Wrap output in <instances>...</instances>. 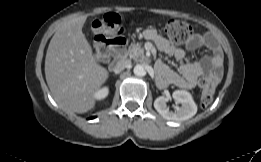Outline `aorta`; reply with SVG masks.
<instances>
[{
    "mask_svg": "<svg viewBox=\"0 0 261 162\" xmlns=\"http://www.w3.org/2000/svg\"><path fill=\"white\" fill-rule=\"evenodd\" d=\"M133 72L135 75L137 76H143L145 74V69L142 65L140 64H137L134 69H133Z\"/></svg>",
    "mask_w": 261,
    "mask_h": 162,
    "instance_id": "1",
    "label": "aorta"
}]
</instances>
